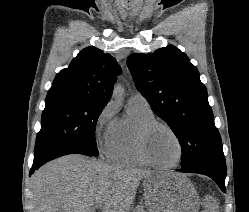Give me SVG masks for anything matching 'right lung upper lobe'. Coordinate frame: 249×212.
<instances>
[{
  "label": "right lung upper lobe",
  "instance_id": "1",
  "mask_svg": "<svg viewBox=\"0 0 249 212\" xmlns=\"http://www.w3.org/2000/svg\"><path fill=\"white\" fill-rule=\"evenodd\" d=\"M120 72L110 54L87 47L56 75L46 99L74 97L106 106Z\"/></svg>",
  "mask_w": 249,
  "mask_h": 212
}]
</instances>
